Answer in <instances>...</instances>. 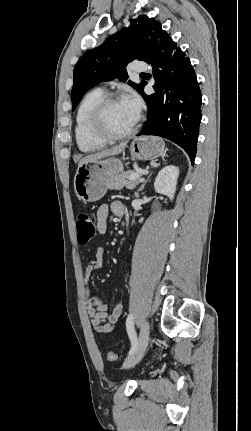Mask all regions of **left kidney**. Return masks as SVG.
<instances>
[{
    "instance_id": "1",
    "label": "left kidney",
    "mask_w": 251,
    "mask_h": 431,
    "mask_svg": "<svg viewBox=\"0 0 251 431\" xmlns=\"http://www.w3.org/2000/svg\"><path fill=\"white\" fill-rule=\"evenodd\" d=\"M179 176V168L174 165H168L159 171L155 182L154 189L157 193L167 195L170 200H173L176 192L177 179Z\"/></svg>"
}]
</instances>
